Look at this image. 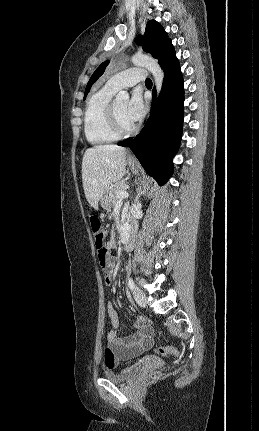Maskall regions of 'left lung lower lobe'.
Listing matches in <instances>:
<instances>
[{"label": "left lung lower lobe", "mask_w": 259, "mask_h": 431, "mask_svg": "<svg viewBox=\"0 0 259 431\" xmlns=\"http://www.w3.org/2000/svg\"><path fill=\"white\" fill-rule=\"evenodd\" d=\"M158 63L164 71L162 91L157 104L153 90L151 115L142 131L134 138L126 139L119 146H128L146 172L159 185H164L173 171V157L178 151L184 117V87L180 65L170 44ZM158 107L155 114V107Z\"/></svg>", "instance_id": "1"}]
</instances>
